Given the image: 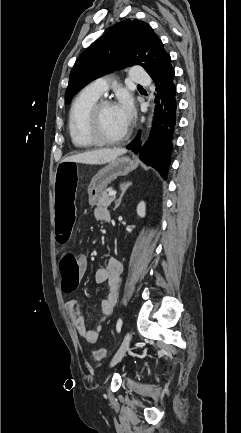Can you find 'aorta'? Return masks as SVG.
<instances>
[{
    "instance_id": "1",
    "label": "aorta",
    "mask_w": 241,
    "mask_h": 433,
    "mask_svg": "<svg viewBox=\"0 0 241 433\" xmlns=\"http://www.w3.org/2000/svg\"><path fill=\"white\" fill-rule=\"evenodd\" d=\"M149 126L151 125L152 117L149 118Z\"/></svg>"
}]
</instances>
